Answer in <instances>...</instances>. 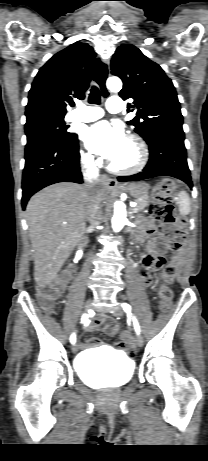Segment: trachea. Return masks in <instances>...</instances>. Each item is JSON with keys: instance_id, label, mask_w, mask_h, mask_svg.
I'll list each match as a JSON object with an SVG mask.
<instances>
[{"instance_id": "trachea-1", "label": "trachea", "mask_w": 208, "mask_h": 461, "mask_svg": "<svg viewBox=\"0 0 208 461\" xmlns=\"http://www.w3.org/2000/svg\"><path fill=\"white\" fill-rule=\"evenodd\" d=\"M107 75L105 65L100 61H96L95 71H94V80L100 85L103 91V95L107 96V94L103 90V81L105 80ZM89 103L91 104H100V91L97 86H92L89 94Z\"/></svg>"}]
</instances>
